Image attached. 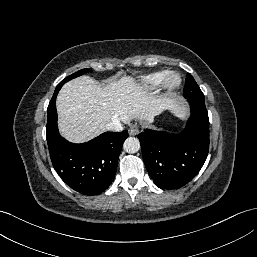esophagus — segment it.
Masks as SVG:
<instances>
[{
    "instance_id": "esophagus-1",
    "label": "esophagus",
    "mask_w": 257,
    "mask_h": 257,
    "mask_svg": "<svg viewBox=\"0 0 257 257\" xmlns=\"http://www.w3.org/2000/svg\"><path fill=\"white\" fill-rule=\"evenodd\" d=\"M139 130H140L139 125L138 124H133L129 128V134L132 135V136L137 135Z\"/></svg>"
}]
</instances>
